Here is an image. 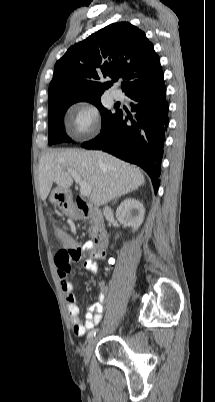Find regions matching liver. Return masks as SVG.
Listing matches in <instances>:
<instances>
[{
	"instance_id": "obj_1",
	"label": "liver",
	"mask_w": 215,
	"mask_h": 402,
	"mask_svg": "<svg viewBox=\"0 0 215 402\" xmlns=\"http://www.w3.org/2000/svg\"><path fill=\"white\" fill-rule=\"evenodd\" d=\"M66 169L74 170L91 186L90 199L95 206L127 194L145 183L142 172L102 151L64 150L43 155L39 161V193L46 200L53 183L68 190L73 184Z\"/></svg>"
}]
</instances>
